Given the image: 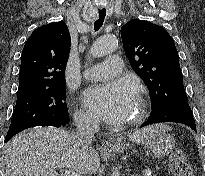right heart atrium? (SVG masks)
Returning a JSON list of instances; mask_svg holds the SVG:
<instances>
[{
  "label": "right heart atrium",
  "mask_w": 205,
  "mask_h": 176,
  "mask_svg": "<svg viewBox=\"0 0 205 176\" xmlns=\"http://www.w3.org/2000/svg\"><path fill=\"white\" fill-rule=\"evenodd\" d=\"M76 120L80 125L88 128L94 127L96 124L95 117L91 113L84 110H78L76 112Z\"/></svg>",
  "instance_id": "obj_1"
}]
</instances>
